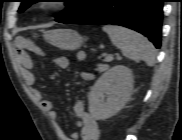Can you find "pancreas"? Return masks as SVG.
I'll return each mask as SVG.
<instances>
[{
	"label": "pancreas",
	"instance_id": "obj_1",
	"mask_svg": "<svg viewBox=\"0 0 182 140\" xmlns=\"http://www.w3.org/2000/svg\"><path fill=\"white\" fill-rule=\"evenodd\" d=\"M108 68H109V65H107V64H99V65L97 66L96 70H97L99 73H102V72L108 70Z\"/></svg>",
	"mask_w": 182,
	"mask_h": 140
}]
</instances>
